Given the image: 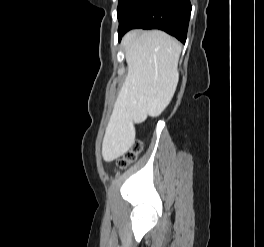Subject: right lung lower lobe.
Segmentation results:
<instances>
[{"label":"right lung lower lobe","mask_w":264,"mask_h":247,"mask_svg":"<svg viewBox=\"0 0 264 247\" xmlns=\"http://www.w3.org/2000/svg\"><path fill=\"white\" fill-rule=\"evenodd\" d=\"M190 0H130L119 18V40L130 29H160L185 43Z\"/></svg>","instance_id":"98d812e1"}]
</instances>
